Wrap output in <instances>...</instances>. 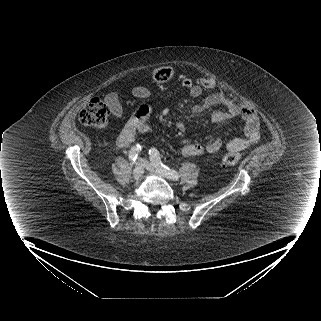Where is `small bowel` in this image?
Masks as SVG:
<instances>
[{"label":"small bowel","instance_id":"small-bowel-1","mask_svg":"<svg viewBox=\"0 0 321 321\" xmlns=\"http://www.w3.org/2000/svg\"><path fill=\"white\" fill-rule=\"evenodd\" d=\"M183 87L189 92L192 97H198L202 94V87L194 84L191 79L184 78L182 80ZM133 95L139 98H146L148 92L144 87H135ZM105 101L109 106L110 112L115 118H121L123 109L120 99L117 94L109 93L105 97ZM224 104V110H218L213 113L214 121L223 122L240 117L244 121L243 137H237L225 143V147L229 151H241L249 146L257 143L261 137L259 116L255 109L249 106H239L238 104L227 100L220 92H215L208 95L203 102L195 104L192 107L193 114H201L205 110L216 105ZM148 108L142 107L127 121L124 129L117 138V145L120 148H128L132 145L137 136L146 133L150 130L147 123ZM178 130L185 129L182 121L177 122ZM223 146L220 139H213L206 144L192 143L182 146L179 149V154L184 157L200 156L205 153H215Z\"/></svg>","mask_w":321,"mask_h":321}]
</instances>
